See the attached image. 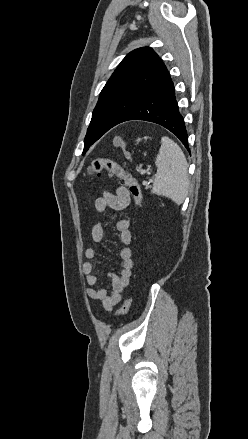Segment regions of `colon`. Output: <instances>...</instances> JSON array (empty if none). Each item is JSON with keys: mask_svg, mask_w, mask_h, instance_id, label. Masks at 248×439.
<instances>
[{"mask_svg": "<svg viewBox=\"0 0 248 439\" xmlns=\"http://www.w3.org/2000/svg\"><path fill=\"white\" fill-rule=\"evenodd\" d=\"M87 172L90 175H100L103 172H107L110 177L118 179L122 185L128 188L136 205H142L143 197L139 182L115 160L109 158H96L89 164ZM130 304L131 298L127 297L118 311V316L125 315L130 308Z\"/></svg>", "mask_w": 248, "mask_h": 439, "instance_id": "1", "label": "colon"}]
</instances>
